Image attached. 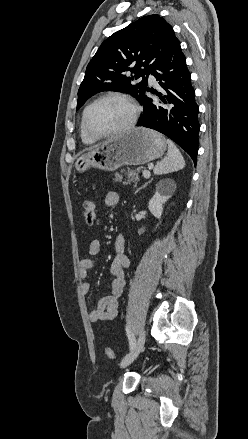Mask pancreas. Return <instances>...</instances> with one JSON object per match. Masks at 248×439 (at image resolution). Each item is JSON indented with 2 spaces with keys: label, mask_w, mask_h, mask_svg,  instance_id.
Returning a JSON list of instances; mask_svg holds the SVG:
<instances>
[{
  "label": "pancreas",
  "mask_w": 248,
  "mask_h": 439,
  "mask_svg": "<svg viewBox=\"0 0 248 439\" xmlns=\"http://www.w3.org/2000/svg\"><path fill=\"white\" fill-rule=\"evenodd\" d=\"M142 170V168H137L136 170H128L125 172V175L127 176V180H125L123 183L128 184L130 182L136 183L139 181V173ZM123 180V176L119 173L115 174V181L121 182Z\"/></svg>",
  "instance_id": "pancreas-1"
}]
</instances>
